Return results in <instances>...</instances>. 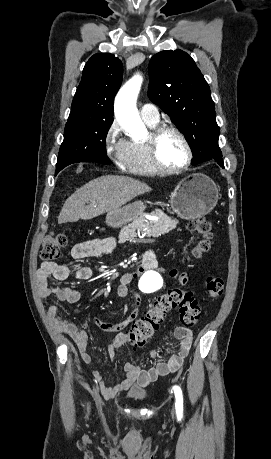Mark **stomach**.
<instances>
[{"instance_id":"stomach-1","label":"stomach","mask_w":271,"mask_h":459,"mask_svg":"<svg viewBox=\"0 0 271 459\" xmlns=\"http://www.w3.org/2000/svg\"><path fill=\"white\" fill-rule=\"evenodd\" d=\"M215 182L205 174H192L179 182L171 196V208L183 220L203 218L214 210L219 198ZM144 210L143 204L135 202L119 210L109 212L107 224H128L137 220Z\"/></svg>"}]
</instances>
